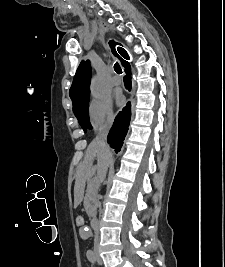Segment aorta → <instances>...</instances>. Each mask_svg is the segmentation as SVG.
<instances>
[{"label": "aorta", "mask_w": 225, "mask_h": 267, "mask_svg": "<svg viewBox=\"0 0 225 267\" xmlns=\"http://www.w3.org/2000/svg\"><path fill=\"white\" fill-rule=\"evenodd\" d=\"M106 91L103 85L95 78L91 84V94L94 98H102Z\"/></svg>", "instance_id": "1"}]
</instances>
